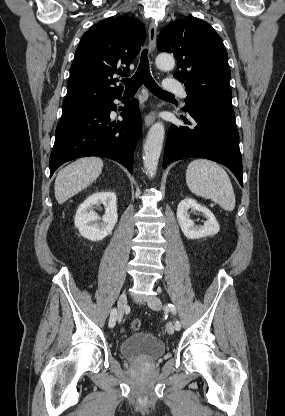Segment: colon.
<instances>
[{
    "label": "colon",
    "mask_w": 285,
    "mask_h": 416,
    "mask_svg": "<svg viewBox=\"0 0 285 416\" xmlns=\"http://www.w3.org/2000/svg\"><path fill=\"white\" fill-rule=\"evenodd\" d=\"M141 326H142V322L139 319H134L131 322V329L134 331H138L141 328Z\"/></svg>",
    "instance_id": "colon-1"
}]
</instances>
